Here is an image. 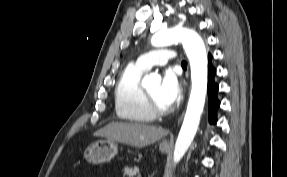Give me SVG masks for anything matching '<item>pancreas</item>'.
<instances>
[{
	"label": "pancreas",
	"mask_w": 287,
	"mask_h": 177,
	"mask_svg": "<svg viewBox=\"0 0 287 177\" xmlns=\"http://www.w3.org/2000/svg\"><path fill=\"white\" fill-rule=\"evenodd\" d=\"M123 176H128V177H140V170L138 167H134V168H124V172H123Z\"/></svg>",
	"instance_id": "obj_1"
}]
</instances>
